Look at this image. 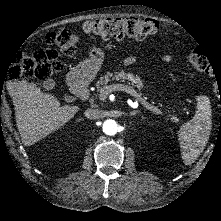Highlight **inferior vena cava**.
I'll return each mask as SVG.
<instances>
[{"mask_svg":"<svg viewBox=\"0 0 221 221\" xmlns=\"http://www.w3.org/2000/svg\"><path fill=\"white\" fill-rule=\"evenodd\" d=\"M84 115L90 120H98L104 117V111L100 109H87Z\"/></svg>","mask_w":221,"mask_h":221,"instance_id":"1","label":"inferior vena cava"}]
</instances>
